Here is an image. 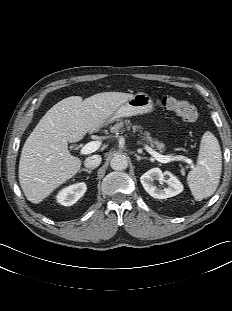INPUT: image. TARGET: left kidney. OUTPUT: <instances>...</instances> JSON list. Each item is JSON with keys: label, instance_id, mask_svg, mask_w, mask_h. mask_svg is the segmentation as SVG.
I'll list each match as a JSON object with an SVG mask.
<instances>
[{"label": "left kidney", "instance_id": "1", "mask_svg": "<svg viewBox=\"0 0 232 311\" xmlns=\"http://www.w3.org/2000/svg\"><path fill=\"white\" fill-rule=\"evenodd\" d=\"M141 184L146 192L154 198L166 199L176 196L183 191L181 182L170 172H162L159 168H152L140 177ZM155 181L161 184L166 183L168 186L164 189L158 188Z\"/></svg>", "mask_w": 232, "mask_h": 311}]
</instances>
